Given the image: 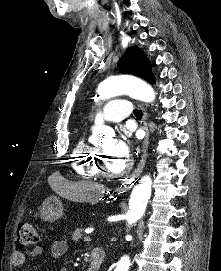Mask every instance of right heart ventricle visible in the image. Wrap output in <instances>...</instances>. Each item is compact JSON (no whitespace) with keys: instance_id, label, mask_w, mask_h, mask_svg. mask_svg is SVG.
<instances>
[{"instance_id":"1","label":"right heart ventricle","mask_w":221,"mask_h":271,"mask_svg":"<svg viewBox=\"0 0 221 271\" xmlns=\"http://www.w3.org/2000/svg\"><path fill=\"white\" fill-rule=\"evenodd\" d=\"M87 138H80V142H77V147H86ZM87 150L94 151V148L87 146ZM91 154H73L72 163L82 164V166H75L74 171L77 172V176H82V179H100L99 164L95 161H91Z\"/></svg>"}]
</instances>
